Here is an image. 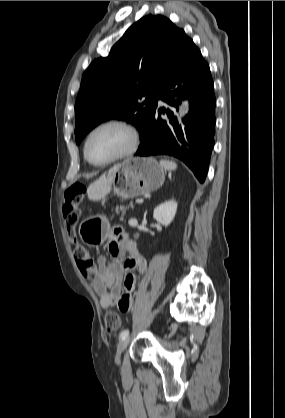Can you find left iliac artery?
Instances as JSON below:
<instances>
[{
  "instance_id": "left-iliac-artery-1",
  "label": "left iliac artery",
  "mask_w": 285,
  "mask_h": 418,
  "mask_svg": "<svg viewBox=\"0 0 285 418\" xmlns=\"http://www.w3.org/2000/svg\"><path fill=\"white\" fill-rule=\"evenodd\" d=\"M128 335H129V330H128V329H125V330H123V331L120 333L119 338H120V339H124V338L128 337Z\"/></svg>"
}]
</instances>
